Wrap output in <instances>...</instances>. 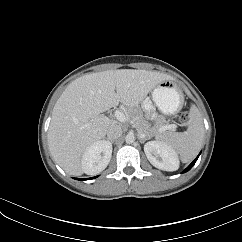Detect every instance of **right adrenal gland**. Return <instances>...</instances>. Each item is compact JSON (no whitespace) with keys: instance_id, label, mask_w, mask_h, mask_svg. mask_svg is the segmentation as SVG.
Instances as JSON below:
<instances>
[{"instance_id":"right-adrenal-gland-1","label":"right adrenal gland","mask_w":242,"mask_h":242,"mask_svg":"<svg viewBox=\"0 0 242 242\" xmlns=\"http://www.w3.org/2000/svg\"><path fill=\"white\" fill-rule=\"evenodd\" d=\"M108 140H109V139H108ZM110 142H111V143H113V142H114V140H110Z\"/></svg>"}]
</instances>
